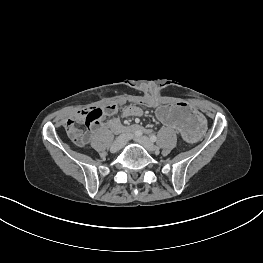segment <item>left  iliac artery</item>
Listing matches in <instances>:
<instances>
[{
  "label": "left iliac artery",
  "mask_w": 263,
  "mask_h": 263,
  "mask_svg": "<svg viewBox=\"0 0 263 263\" xmlns=\"http://www.w3.org/2000/svg\"><path fill=\"white\" fill-rule=\"evenodd\" d=\"M150 140H151L152 142H155V141L157 140V137H156L155 135H151V136H150Z\"/></svg>",
  "instance_id": "obj_1"
}]
</instances>
